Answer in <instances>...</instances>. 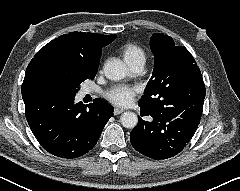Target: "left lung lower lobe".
Instances as JSON below:
<instances>
[{
  "mask_svg": "<svg viewBox=\"0 0 240 191\" xmlns=\"http://www.w3.org/2000/svg\"><path fill=\"white\" fill-rule=\"evenodd\" d=\"M205 85L193 79L182 94L151 103L139 101L141 116L130 134L132 146L152 159H167L180 153L200 122ZM146 116V119H142Z\"/></svg>",
  "mask_w": 240,
  "mask_h": 191,
  "instance_id": "0a47b994",
  "label": "left lung lower lobe"
}]
</instances>
